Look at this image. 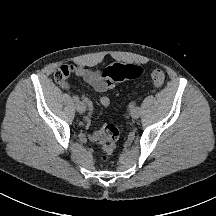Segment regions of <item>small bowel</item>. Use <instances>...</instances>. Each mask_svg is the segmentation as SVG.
<instances>
[{
	"label": "small bowel",
	"instance_id": "obj_1",
	"mask_svg": "<svg viewBox=\"0 0 216 216\" xmlns=\"http://www.w3.org/2000/svg\"><path fill=\"white\" fill-rule=\"evenodd\" d=\"M73 72L76 76L80 77L85 83L93 87L96 91L104 93L109 88L106 86V84L103 81V78L101 76L100 71L98 70H92L83 66H76L72 67ZM83 103L87 105L89 109V115L86 119L87 125L90 127L91 125V114L93 112V103L89 98L86 96H82ZM99 102L102 106H109L110 105V98L106 95H103L100 97ZM95 134L96 132H92L90 134V138L92 140H95Z\"/></svg>",
	"mask_w": 216,
	"mask_h": 216
}]
</instances>
